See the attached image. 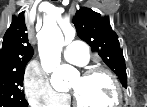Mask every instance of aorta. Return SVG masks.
Listing matches in <instances>:
<instances>
[{
	"label": "aorta",
	"instance_id": "1",
	"mask_svg": "<svg viewBox=\"0 0 147 107\" xmlns=\"http://www.w3.org/2000/svg\"><path fill=\"white\" fill-rule=\"evenodd\" d=\"M65 41L55 22H45L38 34V49L43 69L52 73L51 84L56 90L67 88L69 81L78 76L77 70L68 65H60L61 50Z\"/></svg>",
	"mask_w": 147,
	"mask_h": 107
}]
</instances>
